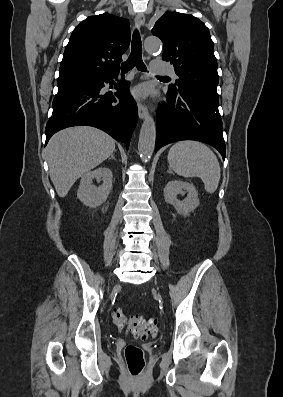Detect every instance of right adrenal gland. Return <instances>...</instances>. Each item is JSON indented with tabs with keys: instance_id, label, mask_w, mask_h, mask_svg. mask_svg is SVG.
<instances>
[{
	"instance_id": "1",
	"label": "right adrenal gland",
	"mask_w": 283,
	"mask_h": 397,
	"mask_svg": "<svg viewBox=\"0 0 283 397\" xmlns=\"http://www.w3.org/2000/svg\"><path fill=\"white\" fill-rule=\"evenodd\" d=\"M110 159L116 160L114 154L111 155Z\"/></svg>"
}]
</instances>
